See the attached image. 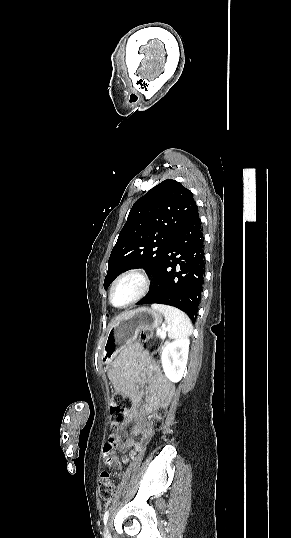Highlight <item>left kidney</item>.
I'll list each match as a JSON object with an SVG mask.
<instances>
[{"instance_id": "left-kidney-1", "label": "left kidney", "mask_w": 291, "mask_h": 538, "mask_svg": "<svg viewBox=\"0 0 291 538\" xmlns=\"http://www.w3.org/2000/svg\"><path fill=\"white\" fill-rule=\"evenodd\" d=\"M190 341L180 338L167 343L161 354L162 367L166 377L177 383L181 380L188 360Z\"/></svg>"}]
</instances>
